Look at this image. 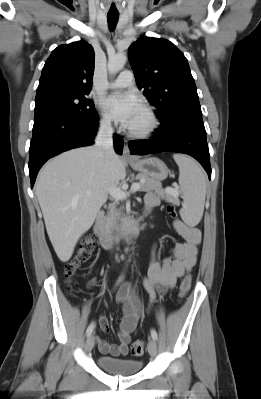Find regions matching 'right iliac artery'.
<instances>
[{"instance_id": "right-iliac-artery-1", "label": "right iliac artery", "mask_w": 261, "mask_h": 399, "mask_svg": "<svg viewBox=\"0 0 261 399\" xmlns=\"http://www.w3.org/2000/svg\"><path fill=\"white\" fill-rule=\"evenodd\" d=\"M122 279H123V276H121V277L118 279L117 285L122 281ZM94 328H95V323H91V324L88 326L87 330H86V335H87V336H90V335L92 334Z\"/></svg>"}]
</instances>
